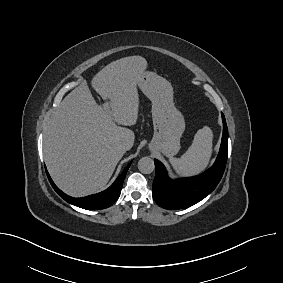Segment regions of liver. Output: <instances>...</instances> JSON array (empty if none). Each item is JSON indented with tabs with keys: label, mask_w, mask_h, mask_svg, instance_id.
Masks as SVG:
<instances>
[{
	"label": "liver",
	"mask_w": 283,
	"mask_h": 283,
	"mask_svg": "<svg viewBox=\"0 0 283 283\" xmlns=\"http://www.w3.org/2000/svg\"><path fill=\"white\" fill-rule=\"evenodd\" d=\"M147 68L141 56L113 61L92 79L109 100L98 105L86 83L71 91L54 110L44 132V159L57 186L74 197L102 190L117 163L134 144L139 110L138 81ZM122 125V126H120Z\"/></svg>",
	"instance_id": "liver-1"
}]
</instances>
